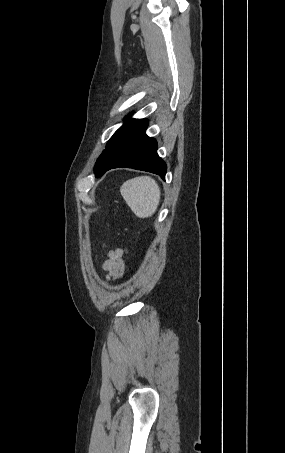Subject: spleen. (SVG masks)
I'll return each instance as SVG.
<instances>
[{
	"label": "spleen",
	"instance_id": "3e777b00",
	"mask_svg": "<svg viewBox=\"0 0 285 453\" xmlns=\"http://www.w3.org/2000/svg\"><path fill=\"white\" fill-rule=\"evenodd\" d=\"M120 193L133 213L139 218L151 217L160 202V188L149 176L127 180L120 187Z\"/></svg>",
	"mask_w": 285,
	"mask_h": 453
}]
</instances>
